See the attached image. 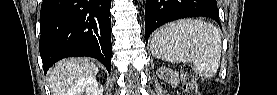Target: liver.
Segmentation results:
<instances>
[{
	"label": "liver",
	"instance_id": "obj_1",
	"mask_svg": "<svg viewBox=\"0 0 277 95\" xmlns=\"http://www.w3.org/2000/svg\"><path fill=\"white\" fill-rule=\"evenodd\" d=\"M97 73L98 67L94 60L67 58L49 70V85L53 95H70L79 81Z\"/></svg>",
	"mask_w": 277,
	"mask_h": 95
}]
</instances>
